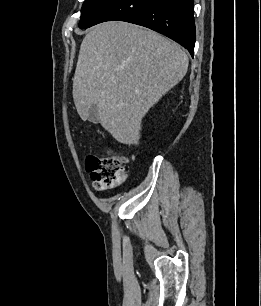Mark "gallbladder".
I'll use <instances>...</instances> for the list:
<instances>
[{"label":"gallbladder","mask_w":261,"mask_h":306,"mask_svg":"<svg viewBox=\"0 0 261 306\" xmlns=\"http://www.w3.org/2000/svg\"><path fill=\"white\" fill-rule=\"evenodd\" d=\"M88 120L92 123L99 122V112L97 105H92L89 109Z\"/></svg>","instance_id":"gallbladder-1"}]
</instances>
